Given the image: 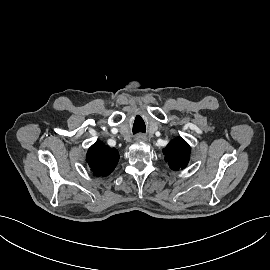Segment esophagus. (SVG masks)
I'll use <instances>...</instances> for the list:
<instances>
[{"mask_svg": "<svg viewBox=\"0 0 270 270\" xmlns=\"http://www.w3.org/2000/svg\"><path fill=\"white\" fill-rule=\"evenodd\" d=\"M147 137L146 135L144 134H138L136 137H135V140L136 141H146Z\"/></svg>", "mask_w": 270, "mask_h": 270, "instance_id": "1", "label": "esophagus"}]
</instances>
